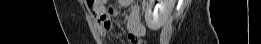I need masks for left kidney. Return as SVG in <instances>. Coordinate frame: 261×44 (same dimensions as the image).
<instances>
[{"label":"left kidney","instance_id":"5707ae66","mask_svg":"<svg viewBox=\"0 0 261 44\" xmlns=\"http://www.w3.org/2000/svg\"><path fill=\"white\" fill-rule=\"evenodd\" d=\"M175 0H160L157 10L153 11V6L148 5L145 11V21L148 28L152 31L159 30L170 16Z\"/></svg>","mask_w":261,"mask_h":44}]
</instances>
